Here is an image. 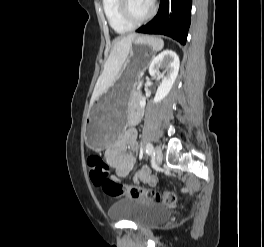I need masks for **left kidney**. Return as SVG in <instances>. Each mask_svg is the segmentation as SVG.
<instances>
[{"mask_svg": "<svg viewBox=\"0 0 264 247\" xmlns=\"http://www.w3.org/2000/svg\"><path fill=\"white\" fill-rule=\"evenodd\" d=\"M180 60L178 55L172 50H165L153 58L149 66V74L154 76L160 74V69H163V74L160 75L162 83L157 89L154 97V103L162 101L172 89V86L179 72ZM167 73V75H164Z\"/></svg>", "mask_w": 264, "mask_h": 247, "instance_id": "1", "label": "left kidney"}]
</instances>
